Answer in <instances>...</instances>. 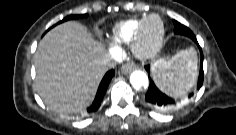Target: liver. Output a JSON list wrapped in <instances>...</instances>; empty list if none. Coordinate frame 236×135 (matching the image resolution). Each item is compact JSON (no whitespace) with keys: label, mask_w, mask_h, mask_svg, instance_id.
<instances>
[{"label":"liver","mask_w":236,"mask_h":135,"mask_svg":"<svg viewBox=\"0 0 236 135\" xmlns=\"http://www.w3.org/2000/svg\"><path fill=\"white\" fill-rule=\"evenodd\" d=\"M108 57L104 45L80 23L67 21L54 27L34 55L39 96L57 113L81 112L94 98Z\"/></svg>","instance_id":"6515ba94"}]
</instances>
